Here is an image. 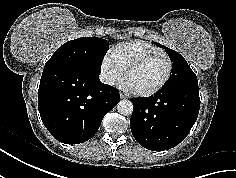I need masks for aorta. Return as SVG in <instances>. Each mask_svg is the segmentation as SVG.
<instances>
[{
	"instance_id": "1",
	"label": "aorta",
	"mask_w": 236,
	"mask_h": 178,
	"mask_svg": "<svg viewBox=\"0 0 236 178\" xmlns=\"http://www.w3.org/2000/svg\"><path fill=\"white\" fill-rule=\"evenodd\" d=\"M117 110L122 115H131L133 113V104L130 100H121L117 104Z\"/></svg>"
}]
</instances>
